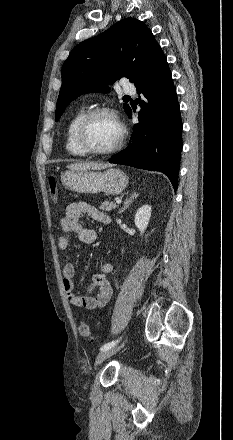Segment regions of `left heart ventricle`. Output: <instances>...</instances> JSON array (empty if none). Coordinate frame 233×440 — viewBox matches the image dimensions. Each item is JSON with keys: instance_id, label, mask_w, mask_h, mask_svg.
Instances as JSON below:
<instances>
[{"instance_id": "b2bd125f", "label": "left heart ventricle", "mask_w": 233, "mask_h": 440, "mask_svg": "<svg viewBox=\"0 0 233 440\" xmlns=\"http://www.w3.org/2000/svg\"><path fill=\"white\" fill-rule=\"evenodd\" d=\"M118 137L119 127L109 115L95 116L85 132V142L96 150L109 149L116 143Z\"/></svg>"}]
</instances>
